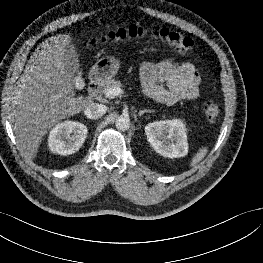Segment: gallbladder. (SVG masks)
<instances>
[{
    "label": "gallbladder",
    "mask_w": 263,
    "mask_h": 263,
    "mask_svg": "<svg viewBox=\"0 0 263 263\" xmlns=\"http://www.w3.org/2000/svg\"><path fill=\"white\" fill-rule=\"evenodd\" d=\"M64 65L73 80H79L82 76V71L79 64L78 54L75 49L67 48L64 54Z\"/></svg>",
    "instance_id": "1"
}]
</instances>
